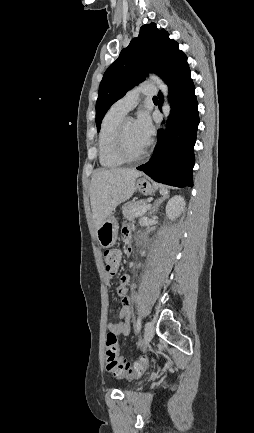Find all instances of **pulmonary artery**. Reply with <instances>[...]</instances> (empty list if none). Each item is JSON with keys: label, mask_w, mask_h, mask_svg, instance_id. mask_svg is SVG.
<instances>
[{"label": "pulmonary artery", "mask_w": 254, "mask_h": 433, "mask_svg": "<svg viewBox=\"0 0 254 433\" xmlns=\"http://www.w3.org/2000/svg\"><path fill=\"white\" fill-rule=\"evenodd\" d=\"M156 93V88L154 85L145 84L139 86L130 92H128L124 97L116 101L111 109L113 111L127 114L130 110H132L138 103L140 95H154Z\"/></svg>", "instance_id": "obj_1"}]
</instances>
